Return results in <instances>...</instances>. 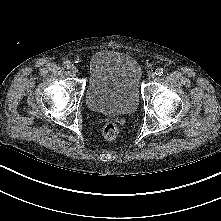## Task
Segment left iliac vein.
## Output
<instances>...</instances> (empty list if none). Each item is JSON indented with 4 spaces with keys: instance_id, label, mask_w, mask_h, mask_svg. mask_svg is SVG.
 Returning <instances> with one entry per match:
<instances>
[{
    "instance_id": "1",
    "label": "left iliac vein",
    "mask_w": 221,
    "mask_h": 221,
    "mask_svg": "<svg viewBox=\"0 0 221 221\" xmlns=\"http://www.w3.org/2000/svg\"><path fill=\"white\" fill-rule=\"evenodd\" d=\"M156 74L154 73V72H150L149 74H148V79L150 80V81H154L155 79H156Z\"/></svg>"
}]
</instances>
